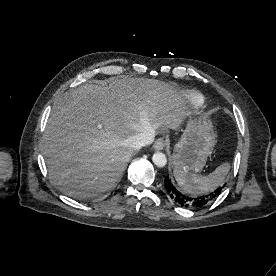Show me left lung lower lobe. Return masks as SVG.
<instances>
[{"label": "left lung lower lobe", "mask_w": 276, "mask_h": 276, "mask_svg": "<svg viewBox=\"0 0 276 276\" xmlns=\"http://www.w3.org/2000/svg\"><path fill=\"white\" fill-rule=\"evenodd\" d=\"M164 189L167 194L179 205L185 207H200L215 199L221 192L222 187L214 189L205 193L200 197H192L184 194L180 190L176 189L169 176H166L163 183Z\"/></svg>", "instance_id": "1"}]
</instances>
